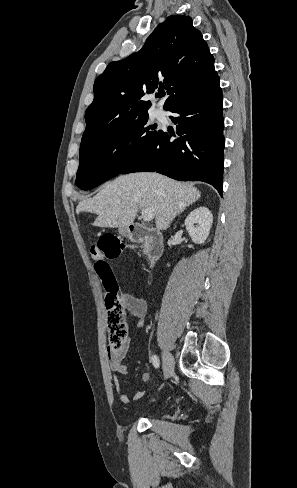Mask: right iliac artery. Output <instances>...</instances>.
Here are the masks:
<instances>
[{"instance_id":"1","label":"right iliac artery","mask_w":297,"mask_h":488,"mask_svg":"<svg viewBox=\"0 0 297 488\" xmlns=\"http://www.w3.org/2000/svg\"><path fill=\"white\" fill-rule=\"evenodd\" d=\"M151 360H152L154 367L158 368L160 365L159 358L156 355H154V356H152Z\"/></svg>"}]
</instances>
